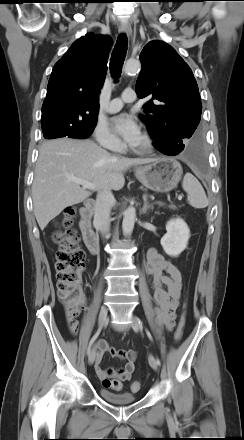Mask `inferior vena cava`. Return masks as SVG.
<instances>
[{
    "mask_svg": "<svg viewBox=\"0 0 244 440\" xmlns=\"http://www.w3.org/2000/svg\"><path fill=\"white\" fill-rule=\"evenodd\" d=\"M114 202L111 189L102 187L96 197L94 225L99 229L102 236L109 235L110 212Z\"/></svg>",
    "mask_w": 244,
    "mask_h": 440,
    "instance_id": "inferior-vena-cava-1",
    "label": "inferior vena cava"
}]
</instances>
